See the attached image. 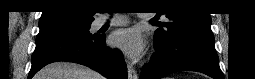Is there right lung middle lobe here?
<instances>
[{"mask_svg": "<svg viewBox=\"0 0 255 79\" xmlns=\"http://www.w3.org/2000/svg\"><path fill=\"white\" fill-rule=\"evenodd\" d=\"M92 21H84L72 15L53 16L39 20L37 37L49 34H67L80 37H91L89 32Z\"/></svg>", "mask_w": 255, "mask_h": 79, "instance_id": "1", "label": "right lung middle lobe"}]
</instances>
